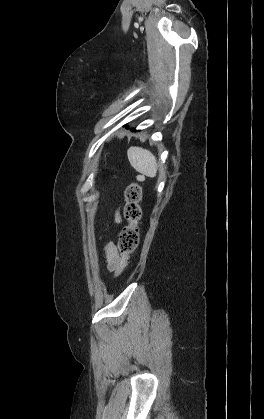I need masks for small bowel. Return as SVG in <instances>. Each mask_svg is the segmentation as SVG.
<instances>
[{
	"instance_id": "1",
	"label": "small bowel",
	"mask_w": 264,
	"mask_h": 419,
	"mask_svg": "<svg viewBox=\"0 0 264 419\" xmlns=\"http://www.w3.org/2000/svg\"><path fill=\"white\" fill-rule=\"evenodd\" d=\"M116 222H120V215L116 214ZM105 263L108 271H116L121 260V255L113 242H107L104 247Z\"/></svg>"
}]
</instances>
